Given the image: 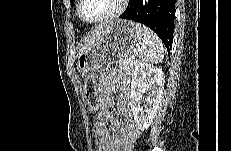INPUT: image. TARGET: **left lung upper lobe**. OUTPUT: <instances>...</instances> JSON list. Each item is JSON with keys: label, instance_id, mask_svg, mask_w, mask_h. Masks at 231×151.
Segmentation results:
<instances>
[{"label": "left lung upper lobe", "instance_id": "5c2ea615", "mask_svg": "<svg viewBox=\"0 0 231 151\" xmlns=\"http://www.w3.org/2000/svg\"><path fill=\"white\" fill-rule=\"evenodd\" d=\"M70 2H71V3H74L75 0H70ZM133 2H135V0H130V4L133 3Z\"/></svg>", "mask_w": 231, "mask_h": 151}]
</instances>
